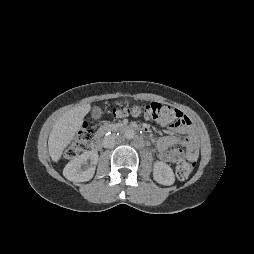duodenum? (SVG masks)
Instances as JSON below:
<instances>
[{"label": "duodenum", "instance_id": "1", "mask_svg": "<svg viewBox=\"0 0 254 254\" xmlns=\"http://www.w3.org/2000/svg\"><path fill=\"white\" fill-rule=\"evenodd\" d=\"M121 131H136L138 129H141V127L134 126V125H120L117 127ZM146 130L145 128H142ZM102 134L103 131L98 132L95 137L93 138L91 142V147L93 150H99L102 147Z\"/></svg>", "mask_w": 254, "mask_h": 254}]
</instances>
